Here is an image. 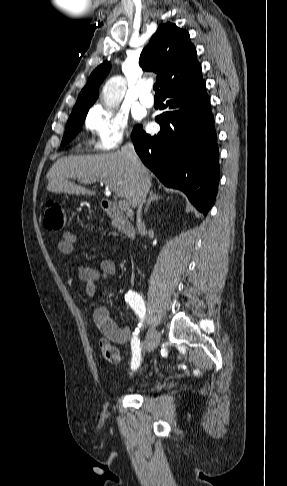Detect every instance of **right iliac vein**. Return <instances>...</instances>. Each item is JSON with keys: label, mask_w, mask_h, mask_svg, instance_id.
I'll list each match as a JSON object with an SVG mask.
<instances>
[{"label": "right iliac vein", "mask_w": 287, "mask_h": 486, "mask_svg": "<svg viewBox=\"0 0 287 486\" xmlns=\"http://www.w3.org/2000/svg\"><path fill=\"white\" fill-rule=\"evenodd\" d=\"M160 341V335L155 328H151L147 336V350L153 351L156 349Z\"/></svg>", "instance_id": "63e3f726"}]
</instances>
